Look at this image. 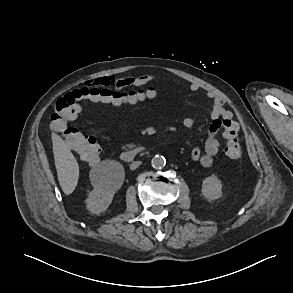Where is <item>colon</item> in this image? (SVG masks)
I'll list each match as a JSON object with an SVG mask.
<instances>
[{
	"label": "colon",
	"mask_w": 293,
	"mask_h": 293,
	"mask_svg": "<svg viewBox=\"0 0 293 293\" xmlns=\"http://www.w3.org/2000/svg\"><path fill=\"white\" fill-rule=\"evenodd\" d=\"M129 95L117 93L106 84H96L73 90L57 100L51 116V126L55 131L62 134L65 142L78 153L83 162L95 164L101 152L98 141L95 137L84 134L78 128L70 126L69 122L80 113L81 102L84 99L96 102H112ZM223 127L226 156L230 159L240 158L241 146L237 138V123L233 120H225Z\"/></svg>",
	"instance_id": "1"
}]
</instances>
